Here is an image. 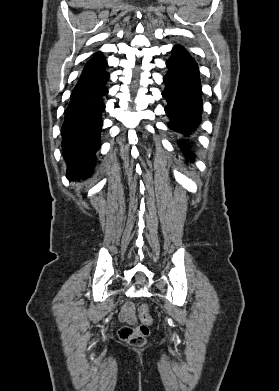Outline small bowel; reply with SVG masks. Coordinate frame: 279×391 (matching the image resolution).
Returning <instances> with one entry per match:
<instances>
[{
    "label": "small bowel",
    "instance_id": "1",
    "mask_svg": "<svg viewBox=\"0 0 279 391\" xmlns=\"http://www.w3.org/2000/svg\"><path fill=\"white\" fill-rule=\"evenodd\" d=\"M119 319L121 322L134 324L137 321V316L135 312V307L132 303L127 302L122 307L119 313Z\"/></svg>",
    "mask_w": 279,
    "mask_h": 391
}]
</instances>
